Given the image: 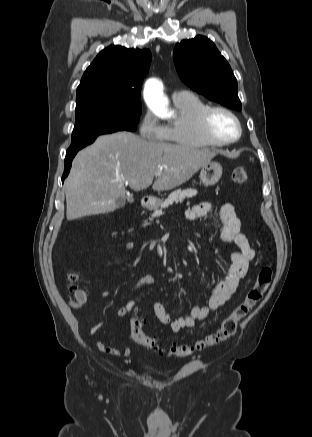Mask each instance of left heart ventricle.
<instances>
[{"label": "left heart ventricle", "instance_id": "left-heart-ventricle-1", "mask_svg": "<svg viewBox=\"0 0 312 437\" xmlns=\"http://www.w3.org/2000/svg\"><path fill=\"white\" fill-rule=\"evenodd\" d=\"M211 133L218 139L227 140L236 136L237 125L235 121L223 112H215L209 120Z\"/></svg>", "mask_w": 312, "mask_h": 437}]
</instances>
